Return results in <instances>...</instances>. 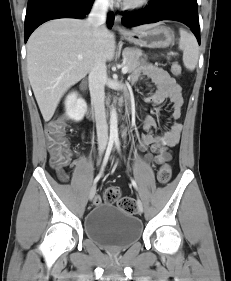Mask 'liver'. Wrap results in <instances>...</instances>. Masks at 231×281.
Here are the masks:
<instances>
[{
	"label": "liver",
	"instance_id": "obj_1",
	"mask_svg": "<svg viewBox=\"0 0 231 281\" xmlns=\"http://www.w3.org/2000/svg\"><path fill=\"white\" fill-rule=\"evenodd\" d=\"M143 25L134 28H147ZM115 37L106 27L100 42L85 20H51L37 28L27 43V72L39 109L49 121L63 94L92 69L96 59L111 61Z\"/></svg>",
	"mask_w": 231,
	"mask_h": 281
}]
</instances>
